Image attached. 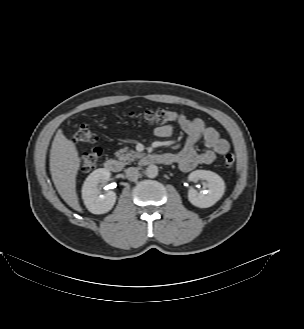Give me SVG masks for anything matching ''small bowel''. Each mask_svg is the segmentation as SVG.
Here are the masks:
<instances>
[{"instance_id": "1", "label": "small bowel", "mask_w": 304, "mask_h": 329, "mask_svg": "<svg viewBox=\"0 0 304 329\" xmlns=\"http://www.w3.org/2000/svg\"><path fill=\"white\" fill-rule=\"evenodd\" d=\"M177 121L187 135L183 148L177 153L170 154L173 163L180 170L189 172L199 165L211 164L218 156L230 150L229 142L222 138L215 128L207 126L201 118L189 119L181 114ZM154 132L159 138H168L173 134L174 128L171 124H164L156 127ZM201 140L207 150L198 152L196 144Z\"/></svg>"}]
</instances>
